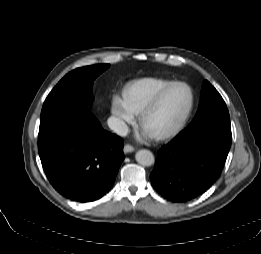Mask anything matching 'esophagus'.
Masks as SVG:
<instances>
[{"label":"esophagus","instance_id":"34e87169","mask_svg":"<svg viewBox=\"0 0 261 254\" xmlns=\"http://www.w3.org/2000/svg\"><path fill=\"white\" fill-rule=\"evenodd\" d=\"M123 151L124 153H131L134 151V147L130 144H126L124 145Z\"/></svg>","mask_w":261,"mask_h":254}]
</instances>
